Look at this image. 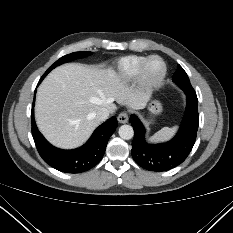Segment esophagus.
Masks as SVG:
<instances>
[{"label": "esophagus", "mask_w": 233, "mask_h": 233, "mask_svg": "<svg viewBox=\"0 0 233 233\" xmlns=\"http://www.w3.org/2000/svg\"><path fill=\"white\" fill-rule=\"evenodd\" d=\"M117 119H118L119 123H122V124L127 123L128 119H129L128 113L127 112H121L118 115Z\"/></svg>", "instance_id": "1"}]
</instances>
